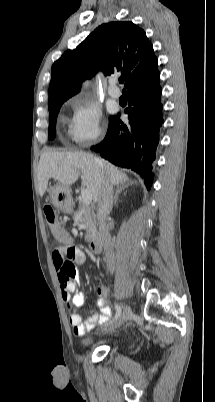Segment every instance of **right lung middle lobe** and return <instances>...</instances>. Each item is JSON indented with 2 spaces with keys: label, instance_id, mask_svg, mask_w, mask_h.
I'll list each match as a JSON object with an SVG mask.
<instances>
[{
  "label": "right lung middle lobe",
  "instance_id": "obj_1",
  "mask_svg": "<svg viewBox=\"0 0 215 402\" xmlns=\"http://www.w3.org/2000/svg\"><path fill=\"white\" fill-rule=\"evenodd\" d=\"M68 98H58L49 103V129H48V138L50 140L55 138V128H56V119L59 112L60 107Z\"/></svg>",
  "mask_w": 215,
  "mask_h": 402
}]
</instances>
